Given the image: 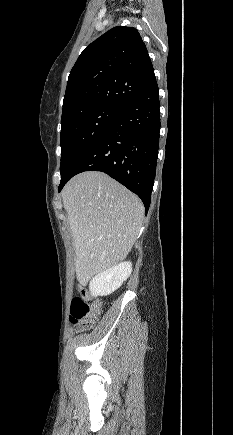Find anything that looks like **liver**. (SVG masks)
Listing matches in <instances>:
<instances>
[{
    "label": "liver",
    "mask_w": 233,
    "mask_h": 435,
    "mask_svg": "<svg viewBox=\"0 0 233 435\" xmlns=\"http://www.w3.org/2000/svg\"><path fill=\"white\" fill-rule=\"evenodd\" d=\"M62 199L73 234L77 280L84 284L126 258L142 225L144 206L138 196L98 171L73 177Z\"/></svg>",
    "instance_id": "liver-1"
}]
</instances>
